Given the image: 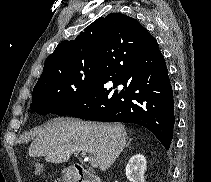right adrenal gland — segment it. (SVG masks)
Masks as SVG:
<instances>
[{"mask_svg": "<svg viewBox=\"0 0 211 182\" xmlns=\"http://www.w3.org/2000/svg\"><path fill=\"white\" fill-rule=\"evenodd\" d=\"M130 142H131V139L127 142L125 146L128 147L130 145Z\"/></svg>", "mask_w": 211, "mask_h": 182, "instance_id": "obj_1", "label": "right adrenal gland"}]
</instances>
